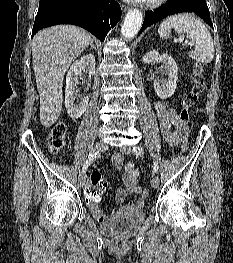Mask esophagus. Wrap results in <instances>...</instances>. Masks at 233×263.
Instances as JSON below:
<instances>
[{
  "instance_id": "1",
  "label": "esophagus",
  "mask_w": 233,
  "mask_h": 263,
  "mask_svg": "<svg viewBox=\"0 0 233 263\" xmlns=\"http://www.w3.org/2000/svg\"><path fill=\"white\" fill-rule=\"evenodd\" d=\"M121 8H122V10H123L124 12H126V11L129 10V7L126 6V5H122Z\"/></svg>"
}]
</instances>
